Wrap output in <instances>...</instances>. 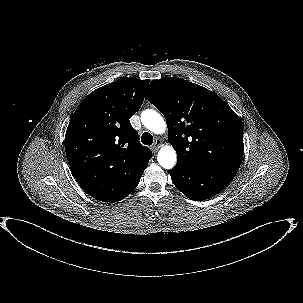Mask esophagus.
<instances>
[{
    "label": "esophagus",
    "mask_w": 303,
    "mask_h": 303,
    "mask_svg": "<svg viewBox=\"0 0 303 303\" xmlns=\"http://www.w3.org/2000/svg\"><path fill=\"white\" fill-rule=\"evenodd\" d=\"M162 145V141L160 139H156L155 143L153 144V146L151 147L153 152L158 151V149L161 147Z\"/></svg>",
    "instance_id": "obj_1"
}]
</instances>
